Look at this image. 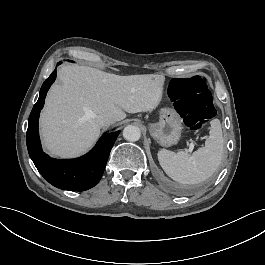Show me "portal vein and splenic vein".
Listing matches in <instances>:
<instances>
[{"mask_svg": "<svg viewBox=\"0 0 265 265\" xmlns=\"http://www.w3.org/2000/svg\"><path fill=\"white\" fill-rule=\"evenodd\" d=\"M192 149H193V145L191 144V145H190V150H192Z\"/></svg>", "mask_w": 265, "mask_h": 265, "instance_id": "1", "label": "portal vein and splenic vein"}]
</instances>
